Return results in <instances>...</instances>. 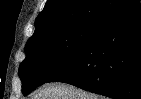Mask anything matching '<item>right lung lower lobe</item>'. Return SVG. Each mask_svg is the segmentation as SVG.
Masks as SVG:
<instances>
[{
	"label": "right lung lower lobe",
	"mask_w": 141,
	"mask_h": 99,
	"mask_svg": "<svg viewBox=\"0 0 141 99\" xmlns=\"http://www.w3.org/2000/svg\"><path fill=\"white\" fill-rule=\"evenodd\" d=\"M47 82H64L113 99H141V5L99 23L77 56Z\"/></svg>",
	"instance_id": "1"
}]
</instances>
